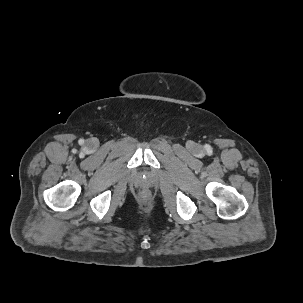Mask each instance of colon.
Listing matches in <instances>:
<instances>
[{
	"label": "colon",
	"instance_id": "5ec220e1",
	"mask_svg": "<svg viewBox=\"0 0 303 303\" xmlns=\"http://www.w3.org/2000/svg\"><path fill=\"white\" fill-rule=\"evenodd\" d=\"M144 197H145V198H147V197H148V194H147V193H145V194H144Z\"/></svg>",
	"mask_w": 303,
	"mask_h": 303
}]
</instances>
